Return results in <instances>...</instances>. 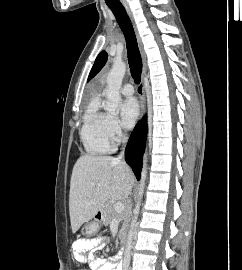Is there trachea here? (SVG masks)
Instances as JSON below:
<instances>
[{
	"mask_svg": "<svg viewBox=\"0 0 242 270\" xmlns=\"http://www.w3.org/2000/svg\"><path fill=\"white\" fill-rule=\"evenodd\" d=\"M109 8L116 17V20L124 34L127 45L130 72L135 83L138 84L140 83L142 73V59L138 49V44L132 23L123 5L109 6Z\"/></svg>",
	"mask_w": 242,
	"mask_h": 270,
	"instance_id": "trachea-1",
	"label": "trachea"
}]
</instances>
